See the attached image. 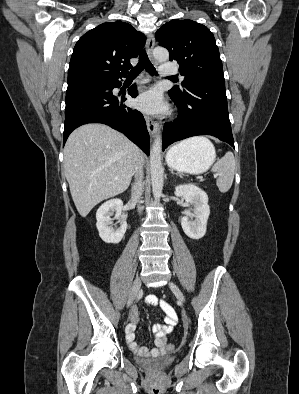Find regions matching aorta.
<instances>
[{
	"label": "aorta",
	"instance_id": "762f6f07",
	"mask_svg": "<svg viewBox=\"0 0 299 394\" xmlns=\"http://www.w3.org/2000/svg\"><path fill=\"white\" fill-rule=\"evenodd\" d=\"M153 56L159 63L166 62L169 58L167 49L162 47H156L153 50ZM161 136L157 135L154 139L150 150V171H151V182L152 192L155 200H159L162 196L163 184H164V169L161 161Z\"/></svg>",
	"mask_w": 299,
	"mask_h": 394
}]
</instances>
